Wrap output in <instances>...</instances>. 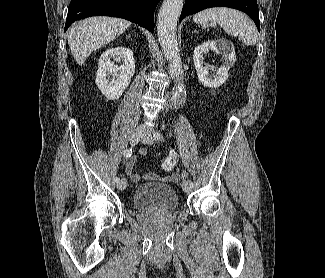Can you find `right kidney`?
<instances>
[{
	"label": "right kidney",
	"mask_w": 325,
	"mask_h": 278,
	"mask_svg": "<svg viewBox=\"0 0 325 278\" xmlns=\"http://www.w3.org/2000/svg\"><path fill=\"white\" fill-rule=\"evenodd\" d=\"M112 58L116 62L122 61L123 64L115 65ZM134 72L133 52L123 46L112 47L100 56L95 81L103 95L109 100H115L122 96Z\"/></svg>",
	"instance_id": "obj_1"
}]
</instances>
